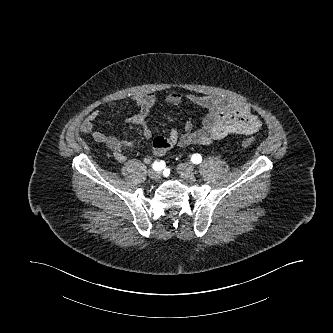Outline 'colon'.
I'll list each match as a JSON object with an SVG mask.
<instances>
[{"label": "colon", "mask_w": 333, "mask_h": 333, "mask_svg": "<svg viewBox=\"0 0 333 333\" xmlns=\"http://www.w3.org/2000/svg\"><path fill=\"white\" fill-rule=\"evenodd\" d=\"M252 144H253V141L251 139H249V138L244 139V140L241 141V146L243 148H249V147L252 146Z\"/></svg>", "instance_id": "1"}]
</instances>
